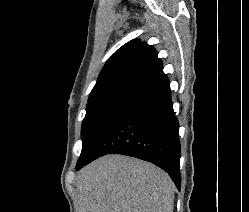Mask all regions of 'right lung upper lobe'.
I'll return each instance as SVG.
<instances>
[{
    "label": "right lung upper lobe",
    "instance_id": "right-lung-upper-lobe-1",
    "mask_svg": "<svg viewBox=\"0 0 249 212\" xmlns=\"http://www.w3.org/2000/svg\"><path fill=\"white\" fill-rule=\"evenodd\" d=\"M168 81L156 50L139 39L118 49L106 62L89 99L113 92L141 95Z\"/></svg>",
    "mask_w": 249,
    "mask_h": 212
}]
</instances>
